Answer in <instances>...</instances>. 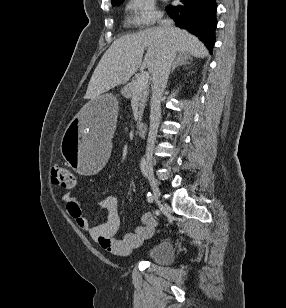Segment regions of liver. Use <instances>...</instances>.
<instances>
[{
  "instance_id": "obj_1",
  "label": "liver",
  "mask_w": 286,
  "mask_h": 308,
  "mask_svg": "<svg viewBox=\"0 0 286 308\" xmlns=\"http://www.w3.org/2000/svg\"><path fill=\"white\" fill-rule=\"evenodd\" d=\"M180 53L204 58L208 51L201 41L185 30L174 28L170 33L155 27L116 39L104 53L94 70L85 98L96 102L102 94L126 83L140 67L153 73L169 39ZM146 54L142 61L144 51Z\"/></svg>"
}]
</instances>
